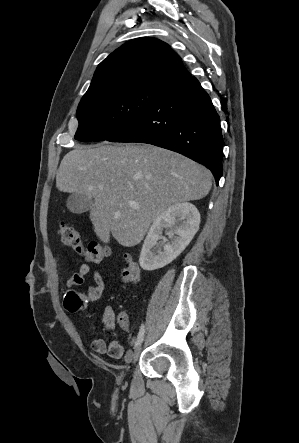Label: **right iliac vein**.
<instances>
[{"mask_svg": "<svg viewBox=\"0 0 299 443\" xmlns=\"http://www.w3.org/2000/svg\"><path fill=\"white\" fill-rule=\"evenodd\" d=\"M141 349H142L141 346H138L136 348L135 353L133 355V359H132L133 363H135L138 360V357H139V355L141 353Z\"/></svg>", "mask_w": 299, "mask_h": 443, "instance_id": "1", "label": "right iliac vein"}]
</instances>
